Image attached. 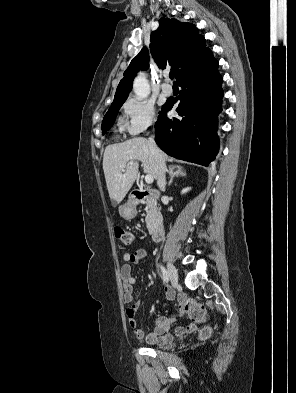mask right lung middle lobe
<instances>
[{
    "label": "right lung middle lobe",
    "mask_w": 296,
    "mask_h": 393,
    "mask_svg": "<svg viewBox=\"0 0 296 393\" xmlns=\"http://www.w3.org/2000/svg\"><path fill=\"white\" fill-rule=\"evenodd\" d=\"M126 99H121V100H116L113 101L111 104L108 112L104 116L103 122H102V134H105L107 130L111 128V126L114 123V119L117 116L119 109L123 105Z\"/></svg>",
    "instance_id": "dd1d6c3e"
}]
</instances>
